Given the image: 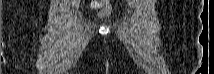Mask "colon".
Masks as SVG:
<instances>
[{
    "instance_id": "1",
    "label": "colon",
    "mask_w": 214,
    "mask_h": 74,
    "mask_svg": "<svg viewBox=\"0 0 214 74\" xmlns=\"http://www.w3.org/2000/svg\"><path fill=\"white\" fill-rule=\"evenodd\" d=\"M92 8L98 9V16L104 18L109 16L112 11V7L109 0H101L92 2Z\"/></svg>"
}]
</instances>
